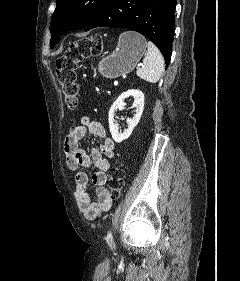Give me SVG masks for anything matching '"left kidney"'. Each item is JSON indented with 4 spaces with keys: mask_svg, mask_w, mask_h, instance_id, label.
<instances>
[{
    "mask_svg": "<svg viewBox=\"0 0 240 281\" xmlns=\"http://www.w3.org/2000/svg\"><path fill=\"white\" fill-rule=\"evenodd\" d=\"M130 96H133L135 98L134 103H133V108H135L136 114L134 115L133 118L127 119L128 128L125 129L123 132H119V127H118V125H116V122L114 120L115 111H117V109L123 110L126 105L124 100ZM143 109H144V94L139 89H137V90L131 89L126 92H123L116 99V101L113 103V105L111 106V108L109 110V119H108L109 129H110L112 138L114 139L115 142L120 143L123 140L129 138L133 129L135 128V126L138 124V122L140 120V117L143 113Z\"/></svg>",
    "mask_w": 240,
    "mask_h": 281,
    "instance_id": "left-kidney-1",
    "label": "left kidney"
}]
</instances>
